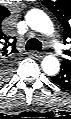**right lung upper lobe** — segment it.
Masks as SVG:
<instances>
[{"label": "right lung upper lobe", "instance_id": "1", "mask_svg": "<svg viewBox=\"0 0 71 119\" xmlns=\"http://www.w3.org/2000/svg\"><path fill=\"white\" fill-rule=\"evenodd\" d=\"M0 11H1V19H4V18H6V17H8V16L10 15L9 10L6 9L5 7H2ZM8 40H9V41H8ZM2 41H3L4 43L6 42L7 45H8V44L10 45V49H12L11 52H16V51H17V50L15 49V42H16L15 40H14V42H12V40H10L9 37L4 36Z\"/></svg>", "mask_w": 71, "mask_h": 119}]
</instances>
